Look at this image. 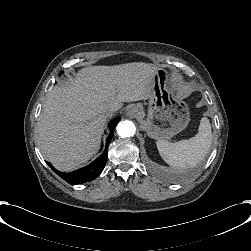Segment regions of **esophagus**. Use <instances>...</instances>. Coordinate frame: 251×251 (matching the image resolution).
Masks as SVG:
<instances>
[{
  "label": "esophagus",
  "instance_id": "obj_1",
  "mask_svg": "<svg viewBox=\"0 0 251 251\" xmlns=\"http://www.w3.org/2000/svg\"><path fill=\"white\" fill-rule=\"evenodd\" d=\"M139 112H140V109L138 106L134 105V106H131L130 109L128 110L127 112V115L130 117V118H136L138 115H139Z\"/></svg>",
  "mask_w": 251,
  "mask_h": 251
}]
</instances>
